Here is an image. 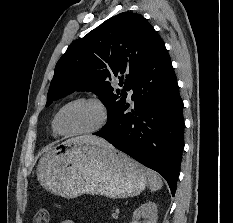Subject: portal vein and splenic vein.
Returning a JSON list of instances; mask_svg holds the SVG:
<instances>
[{"instance_id":"1","label":"portal vein and splenic vein","mask_w":233,"mask_h":223,"mask_svg":"<svg viewBox=\"0 0 233 223\" xmlns=\"http://www.w3.org/2000/svg\"><path fill=\"white\" fill-rule=\"evenodd\" d=\"M112 217H118V213H112Z\"/></svg>"}]
</instances>
